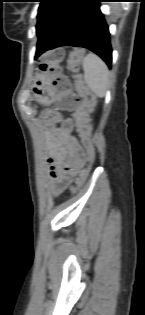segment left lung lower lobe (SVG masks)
I'll return each mask as SVG.
<instances>
[{"label":"left lung lower lobe","instance_id":"obj_1","mask_svg":"<svg viewBox=\"0 0 145 315\" xmlns=\"http://www.w3.org/2000/svg\"><path fill=\"white\" fill-rule=\"evenodd\" d=\"M103 0H72L38 42L35 58L59 46L87 48L111 67L112 49L108 25L99 6Z\"/></svg>","mask_w":145,"mask_h":315}]
</instances>
